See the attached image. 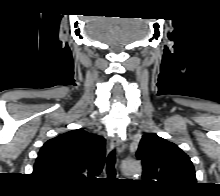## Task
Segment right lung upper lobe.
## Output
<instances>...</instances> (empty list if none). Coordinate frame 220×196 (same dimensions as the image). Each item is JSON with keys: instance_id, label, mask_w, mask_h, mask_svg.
<instances>
[{"instance_id": "obj_1", "label": "right lung upper lobe", "mask_w": 220, "mask_h": 196, "mask_svg": "<svg viewBox=\"0 0 220 196\" xmlns=\"http://www.w3.org/2000/svg\"><path fill=\"white\" fill-rule=\"evenodd\" d=\"M105 139L76 129L48 140L34 165L33 175L60 187H76L102 171Z\"/></svg>"}]
</instances>
